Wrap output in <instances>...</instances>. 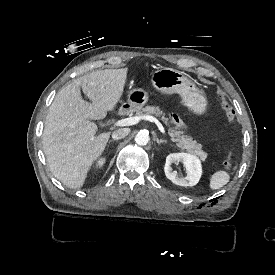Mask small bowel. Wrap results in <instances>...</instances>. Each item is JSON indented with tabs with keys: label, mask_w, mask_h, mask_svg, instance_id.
<instances>
[{
	"label": "small bowel",
	"mask_w": 275,
	"mask_h": 275,
	"mask_svg": "<svg viewBox=\"0 0 275 275\" xmlns=\"http://www.w3.org/2000/svg\"><path fill=\"white\" fill-rule=\"evenodd\" d=\"M170 120L177 128H183L184 127L183 121L179 117V115H177L175 113L170 114Z\"/></svg>",
	"instance_id": "small-bowel-1"
}]
</instances>
